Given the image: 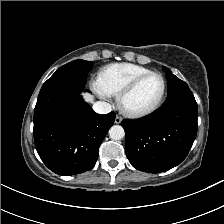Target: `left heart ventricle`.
<instances>
[{
    "mask_svg": "<svg viewBox=\"0 0 224 224\" xmlns=\"http://www.w3.org/2000/svg\"><path fill=\"white\" fill-rule=\"evenodd\" d=\"M162 90V81L158 76H151L142 81L136 89L130 93L124 104L131 110H141L152 106Z\"/></svg>",
    "mask_w": 224,
    "mask_h": 224,
    "instance_id": "left-heart-ventricle-1",
    "label": "left heart ventricle"
}]
</instances>
